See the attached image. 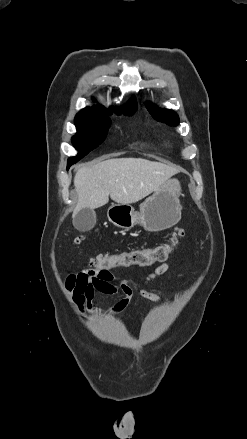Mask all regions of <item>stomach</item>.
<instances>
[{
  "instance_id": "stomach-1",
  "label": "stomach",
  "mask_w": 247,
  "mask_h": 439,
  "mask_svg": "<svg viewBox=\"0 0 247 439\" xmlns=\"http://www.w3.org/2000/svg\"><path fill=\"white\" fill-rule=\"evenodd\" d=\"M181 191L180 182L169 178L140 205L139 211L130 204H114L108 209L107 217L122 229H131L138 224L151 232L168 229L181 218Z\"/></svg>"
}]
</instances>
